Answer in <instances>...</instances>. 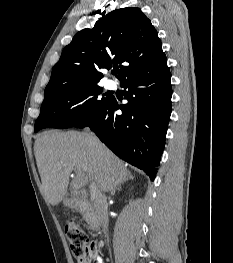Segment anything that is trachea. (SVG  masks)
Wrapping results in <instances>:
<instances>
[{"instance_id": "1", "label": "trachea", "mask_w": 233, "mask_h": 263, "mask_svg": "<svg viewBox=\"0 0 233 263\" xmlns=\"http://www.w3.org/2000/svg\"><path fill=\"white\" fill-rule=\"evenodd\" d=\"M116 73H118V70H114V71H113V74H116Z\"/></svg>"}]
</instances>
